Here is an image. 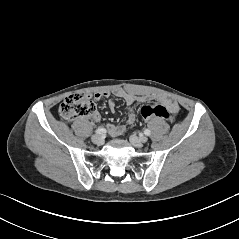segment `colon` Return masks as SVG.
I'll use <instances>...</instances> for the list:
<instances>
[{
  "label": "colon",
  "mask_w": 239,
  "mask_h": 239,
  "mask_svg": "<svg viewBox=\"0 0 239 239\" xmlns=\"http://www.w3.org/2000/svg\"><path fill=\"white\" fill-rule=\"evenodd\" d=\"M96 107L89 95L76 93L69 95L60 104L59 114L67 121H70L78 116L94 115ZM141 114L145 119L169 117V111L166 107L159 104H146L141 108Z\"/></svg>",
  "instance_id": "obj_1"
}]
</instances>
